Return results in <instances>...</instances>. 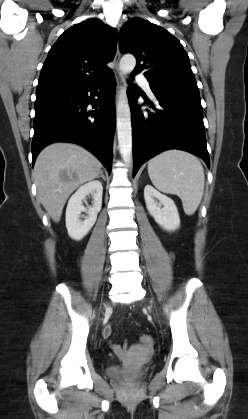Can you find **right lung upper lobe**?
Masks as SVG:
<instances>
[{
	"label": "right lung upper lobe",
	"instance_id": "1",
	"mask_svg": "<svg viewBox=\"0 0 248 419\" xmlns=\"http://www.w3.org/2000/svg\"><path fill=\"white\" fill-rule=\"evenodd\" d=\"M118 32L92 18L67 29L51 47L37 92L71 89L101 79L111 69Z\"/></svg>",
	"mask_w": 248,
	"mask_h": 419
}]
</instances>
